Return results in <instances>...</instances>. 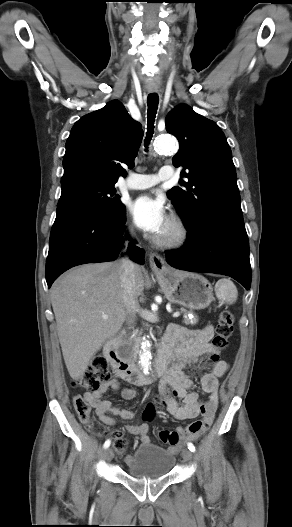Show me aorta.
Returning a JSON list of instances; mask_svg holds the SVG:
<instances>
[{"label":"aorta","mask_w":292,"mask_h":527,"mask_svg":"<svg viewBox=\"0 0 292 527\" xmlns=\"http://www.w3.org/2000/svg\"><path fill=\"white\" fill-rule=\"evenodd\" d=\"M154 148L158 153H173L176 150L175 139L168 135L160 136L155 139ZM150 348V341L145 340L142 344V352L139 359V364L145 374L149 373L151 366L152 353Z\"/></svg>","instance_id":"762f6f07"}]
</instances>
